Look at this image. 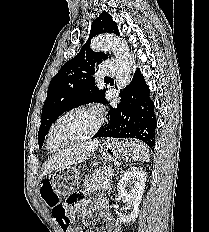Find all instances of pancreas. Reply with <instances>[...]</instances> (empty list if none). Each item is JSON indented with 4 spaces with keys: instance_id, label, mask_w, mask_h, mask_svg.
Returning a JSON list of instances; mask_svg holds the SVG:
<instances>
[{
    "instance_id": "1",
    "label": "pancreas",
    "mask_w": 209,
    "mask_h": 232,
    "mask_svg": "<svg viewBox=\"0 0 209 232\" xmlns=\"http://www.w3.org/2000/svg\"><path fill=\"white\" fill-rule=\"evenodd\" d=\"M110 167H102L94 171L90 176L85 177L84 186L88 192H93L97 189H108L110 187L111 177L108 175Z\"/></svg>"
}]
</instances>
